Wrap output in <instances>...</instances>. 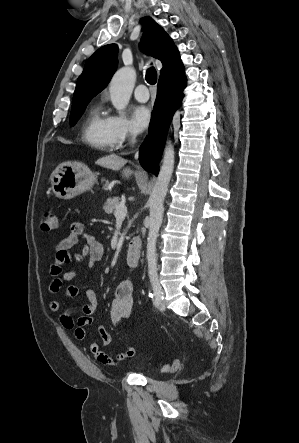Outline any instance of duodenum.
<instances>
[{
    "label": "duodenum",
    "instance_id": "410a0bca",
    "mask_svg": "<svg viewBox=\"0 0 299 443\" xmlns=\"http://www.w3.org/2000/svg\"><path fill=\"white\" fill-rule=\"evenodd\" d=\"M142 251V242L139 237H134L127 249V262L130 266L135 267L138 265Z\"/></svg>",
    "mask_w": 299,
    "mask_h": 443
}]
</instances>
